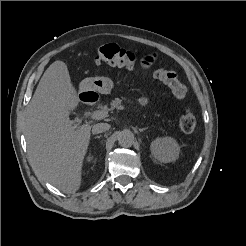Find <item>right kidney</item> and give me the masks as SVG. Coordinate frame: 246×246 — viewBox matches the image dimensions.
Masks as SVG:
<instances>
[{
	"mask_svg": "<svg viewBox=\"0 0 246 246\" xmlns=\"http://www.w3.org/2000/svg\"><path fill=\"white\" fill-rule=\"evenodd\" d=\"M87 161H88V162L93 161V156H92V155H89V156L87 157Z\"/></svg>",
	"mask_w": 246,
	"mask_h": 246,
	"instance_id": "obj_1",
	"label": "right kidney"
}]
</instances>
